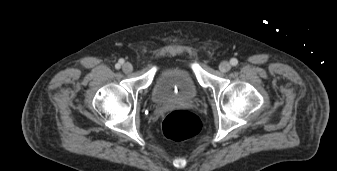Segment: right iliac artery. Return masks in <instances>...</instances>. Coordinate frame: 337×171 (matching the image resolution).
<instances>
[{
	"instance_id": "right-iliac-artery-1",
	"label": "right iliac artery",
	"mask_w": 337,
	"mask_h": 171,
	"mask_svg": "<svg viewBox=\"0 0 337 171\" xmlns=\"http://www.w3.org/2000/svg\"><path fill=\"white\" fill-rule=\"evenodd\" d=\"M121 64H123V60H119V63L115 65L116 69H119L121 67Z\"/></svg>"
}]
</instances>
